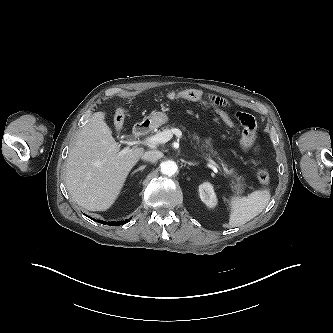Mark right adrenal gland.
Returning <instances> with one entry per match:
<instances>
[{
  "mask_svg": "<svg viewBox=\"0 0 333 333\" xmlns=\"http://www.w3.org/2000/svg\"><path fill=\"white\" fill-rule=\"evenodd\" d=\"M146 167H147V165H142V166H140L138 169L134 170L132 174L134 175L135 173H137V172H139V171L143 172V170H144Z\"/></svg>",
  "mask_w": 333,
  "mask_h": 333,
  "instance_id": "obj_1",
  "label": "right adrenal gland"
}]
</instances>
